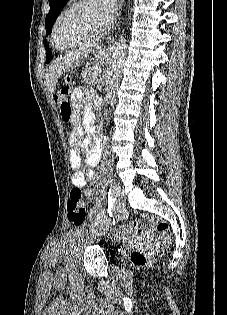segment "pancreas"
I'll return each mask as SVG.
<instances>
[{"label":"pancreas","instance_id":"cf45deb5","mask_svg":"<svg viewBox=\"0 0 227 315\" xmlns=\"http://www.w3.org/2000/svg\"><path fill=\"white\" fill-rule=\"evenodd\" d=\"M94 69H87L81 73V78L85 84L93 85L98 74H94Z\"/></svg>","mask_w":227,"mask_h":315}]
</instances>
